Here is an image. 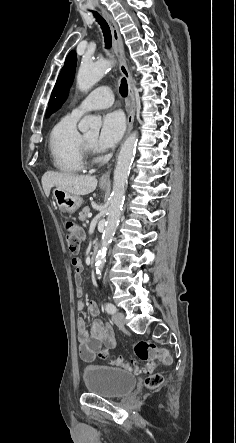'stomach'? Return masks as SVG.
<instances>
[{
  "instance_id": "1",
  "label": "stomach",
  "mask_w": 236,
  "mask_h": 443,
  "mask_svg": "<svg viewBox=\"0 0 236 443\" xmlns=\"http://www.w3.org/2000/svg\"><path fill=\"white\" fill-rule=\"evenodd\" d=\"M104 189V187H102ZM54 203L58 208L67 213H74L80 208L83 203V199L74 194H70L59 188L53 190Z\"/></svg>"
}]
</instances>
